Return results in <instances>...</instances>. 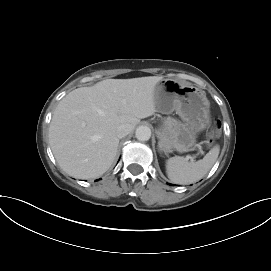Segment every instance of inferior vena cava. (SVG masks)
I'll return each mask as SVG.
<instances>
[{"mask_svg":"<svg viewBox=\"0 0 271 271\" xmlns=\"http://www.w3.org/2000/svg\"><path fill=\"white\" fill-rule=\"evenodd\" d=\"M131 132V126L128 124L120 125L116 130L118 138H123Z\"/></svg>","mask_w":271,"mask_h":271,"instance_id":"inferior-vena-cava-1","label":"inferior vena cava"}]
</instances>
